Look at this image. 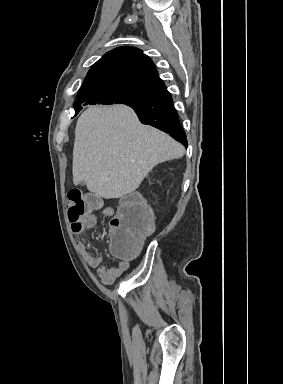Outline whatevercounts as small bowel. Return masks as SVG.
<instances>
[{"mask_svg": "<svg viewBox=\"0 0 283 384\" xmlns=\"http://www.w3.org/2000/svg\"><path fill=\"white\" fill-rule=\"evenodd\" d=\"M104 213L108 216H113L114 211L111 208L105 209ZM97 222L96 216L89 212L85 215L80 226H72V231L74 233H81L87 229H90L95 226ZM77 249L84 257L85 261L92 267L97 269L98 276L101 282L105 285H110L115 282L124 272L129 268V261L121 260L117 266L109 267L103 263V258L101 256L92 255L84 243L78 242Z\"/></svg>", "mask_w": 283, "mask_h": 384, "instance_id": "c3829d8e", "label": "small bowel"}]
</instances>
